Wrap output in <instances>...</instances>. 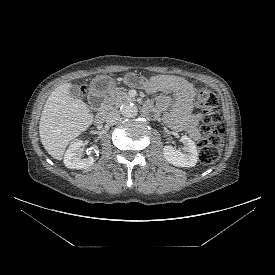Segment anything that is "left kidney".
Instances as JSON below:
<instances>
[{"mask_svg": "<svg viewBox=\"0 0 275 275\" xmlns=\"http://www.w3.org/2000/svg\"><path fill=\"white\" fill-rule=\"evenodd\" d=\"M181 141L185 145L183 152L171 145L164 146L163 154L165 159L177 167L195 166L198 160V152L194 141L186 135L181 137Z\"/></svg>", "mask_w": 275, "mask_h": 275, "instance_id": "obj_1", "label": "left kidney"}]
</instances>
